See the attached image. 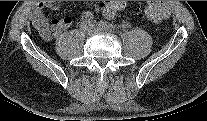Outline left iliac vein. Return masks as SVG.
<instances>
[{
	"mask_svg": "<svg viewBox=\"0 0 207 121\" xmlns=\"http://www.w3.org/2000/svg\"><path fill=\"white\" fill-rule=\"evenodd\" d=\"M92 27H93V31L94 32H103V31H107L108 30V29H104V28L99 27V26H93L92 25Z\"/></svg>",
	"mask_w": 207,
	"mask_h": 121,
	"instance_id": "left-iliac-vein-1",
	"label": "left iliac vein"
}]
</instances>
